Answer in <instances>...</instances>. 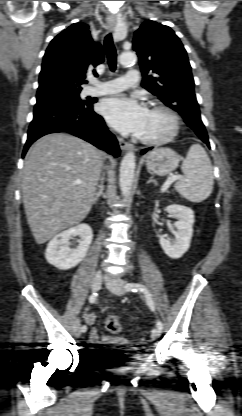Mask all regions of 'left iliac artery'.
I'll return each mask as SVG.
<instances>
[{
    "label": "left iliac artery",
    "instance_id": "44dca946",
    "mask_svg": "<svg viewBox=\"0 0 242 416\" xmlns=\"http://www.w3.org/2000/svg\"><path fill=\"white\" fill-rule=\"evenodd\" d=\"M124 288H125L126 291L142 292L145 296V299H146V302H147V305L149 306V308L152 311H155V305H154L152 296H151L150 292L148 291V289L144 285L139 284V283H127L124 286ZM156 326L159 330L163 329V324L160 320H157Z\"/></svg>",
    "mask_w": 242,
    "mask_h": 416
}]
</instances>
